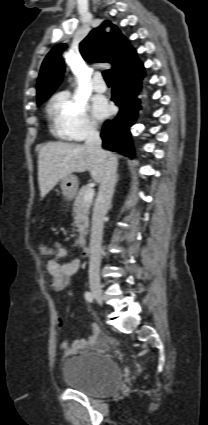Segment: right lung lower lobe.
<instances>
[{
	"mask_svg": "<svg viewBox=\"0 0 208 425\" xmlns=\"http://www.w3.org/2000/svg\"><path fill=\"white\" fill-rule=\"evenodd\" d=\"M144 75L143 64L138 60L131 68L112 76L114 82L112 101L120 111L114 120L106 121L103 126L101 133L103 148L127 157L134 156L129 128L134 124L141 109L137 95Z\"/></svg>",
	"mask_w": 208,
	"mask_h": 425,
	"instance_id": "1",
	"label": "right lung lower lobe"
}]
</instances>
